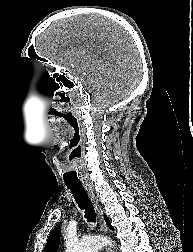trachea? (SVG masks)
I'll return each instance as SVG.
<instances>
[{
	"instance_id": "trachea-1",
	"label": "trachea",
	"mask_w": 193,
	"mask_h": 252,
	"mask_svg": "<svg viewBox=\"0 0 193 252\" xmlns=\"http://www.w3.org/2000/svg\"><path fill=\"white\" fill-rule=\"evenodd\" d=\"M67 186L71 190L73 197L81 210H84L85 218L88 222H96V214L86 191L81 184H70Z\"/></svg>"
}]
</instances>
